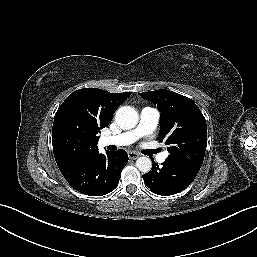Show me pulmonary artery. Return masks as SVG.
I'll use <instances>...</instances> for the list:
<instances>
[{
    "label": "pulmonary artery",
    "instance_id": "e3ab8cb5",
    "mask_svg": "<svg viewBox=\"0 0 257 257\" xmlns=\"http://www.w3.org/2000/svg\"><path fill=\"white\" fill-rule=\"evenodd\" d=\"M159 119L160 113L156 108L144 107L140 112L139 123L134 129L117 135L105 136L101 139V142L104 146H127L133 144L140 138L151 134L156 129ZM166 157L167 153L163 152L157 157V160L162 163Z\"/></svg>",
    "mask_w": 257,
    "mask_h": 257
}]
</instances>
